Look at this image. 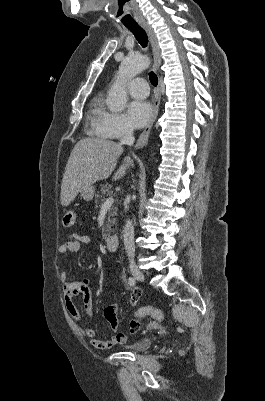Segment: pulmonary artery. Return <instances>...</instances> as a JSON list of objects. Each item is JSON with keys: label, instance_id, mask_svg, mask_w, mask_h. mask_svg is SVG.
<instances>
[{"label": "pulmonary artery", "instance_id": "pulmonary-artery-1", "mask_svg": "<svg viewBox=\"0 0 265 401\" xmlns=\"http://www.w3.org/2000/svg\"><path fill=\"white\" fill-rule=\"evenodd\" d=\"M142 72V69H138L133 76L132 81H127L125 87L127 90H130L133 101H144V99L149 95L148 83L144 81L139 74Z\"/></svg>", "mask_w": 265, "mask_h": 401}]
</instances>
